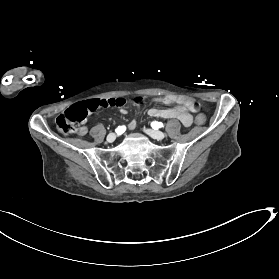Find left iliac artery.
Returning <instances> with one entry per match:
<instances>
[{
    "label": "left iliac artery",
    "instance_id": "44dca946",
    "mask_svg": "<svg viewBox=\"0 0 279 279\" xmlns=\"http://www.w3.org/2000/svg\"><path fill=\"white\" fill-rule=\"evenodd\" d=\"M151 126L153 129H159V128H162L164 126V124L162 122L153 121L151 123Z\"/></svg>",
    "mask_w": 279,
    "mask_h": 279
}]
</instances>
